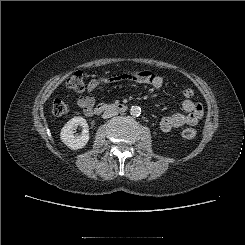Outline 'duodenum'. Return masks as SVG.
Here are the masks:
<instances>
[{"label": "duodenum", "instance_id": "410a0bca", "mask_svg": "<svg viewBox=\"0 0 245 245\" xmlns=\"http://www.w3.org/2000/svg\"><path fill=\"white\" fill-rule=\"evenodd\" d=\"M126 110L127 105L123 103H101L91 110L90 115H99L106 111H115L122 113Z\"/></svg>", "mask_w": 245, "mask_h": 245}]
</instances>
